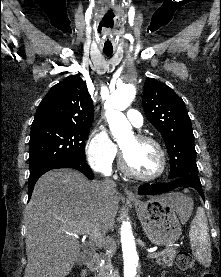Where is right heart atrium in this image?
<instances>
[{
  "label": "right heart atrium",
  "instance_id": "right-heart-atrium-1",
  "mask_svg": "<svg viewBox=\"0 0 221 277\" xmlns=\"http://www.w3.org/2000/svg\"><path fill=\"white\" fill-rule=\"evenodd\" d=\"M85 153L92 169L102 174H109L117 158V147L108 132L98 127L89 135Z\"/></svg>",
  "mask_w": 221,
  "mask_h": 277
}]
</instances>
